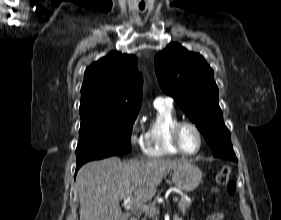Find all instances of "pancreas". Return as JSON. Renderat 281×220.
Segmentation results:
<instances>
[{
	"instance_id": "pancreas-1",
	"label": "pancreas",
	"mask_w": 281,
	"mask_h": 220,
	"mask_svg": "<svg viewBox=\"0 0 281 220\" xmlns=\"http://www.w3.org/2000/svg\"><path fill=\"white\" fill-rule=\"evenodd\" d=\"M189 207L190 201L184 197H181L180 201L178 202V208L180 209L181 213L186 214Z\"/></svg>"
}]
</instances>
